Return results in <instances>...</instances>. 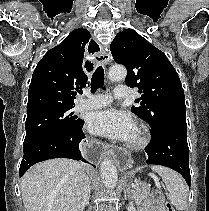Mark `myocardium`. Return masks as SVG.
Segmentation results:
<instances>
[{
  "label": "myocardium",
  "mask_w": 209,
  "mask_h": 211,
  "mask_svg": "<svg viewBox=\"0 0 209 211\" xmlns=\"http://www.w3.org/2000/svg\"><path fill=\"white\" fill-rule=\"evenodd\" d=\"M150 131L148 127L139 123L136 126L135 136L127 143V147L131 150L144 149L150 142Z\"/></svg>",
  "instance_id": "obj_1"
}]
</instances>
